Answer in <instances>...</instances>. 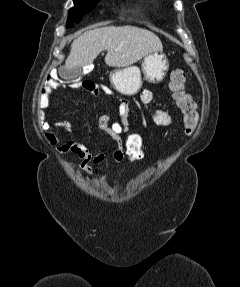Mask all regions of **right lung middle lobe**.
<instances>
[{
  "label": "right lung middle lobe",
  "instance_id": "1",
  "mask_svg": "<svg viewBox=\"0 0 240 287\" xmlns=\"http://www.w3.org/2000/svg\"><path fill=\"white\" fill-rule=\"evenodd\" d=\"M100 0H74V7L68 12L66 27H72L75 23H79Z\"/></svg>",
  "mask_w": 240,
  "mask_h": 287
}]
</instances>
